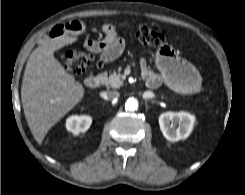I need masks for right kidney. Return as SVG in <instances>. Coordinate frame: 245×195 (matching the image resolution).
Wrapping results in <instances>:
<instances>
[{"label": "right kidney", "mask_w": 245, "mask_h": 195, "mask_svg": "<svg viewBox=\"0 0 245 195\" xmlns=\"http://www.w3.org/2000/svg\"><path fill=\"white\" fill-rule=\"evenodd\" d=\"M92 123V119L87 115H72L66 120V129L74 135L86 132Z\"/></svg>", "instance_id": "ca27d5eb"}]
</instances>
